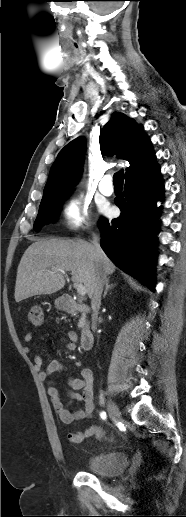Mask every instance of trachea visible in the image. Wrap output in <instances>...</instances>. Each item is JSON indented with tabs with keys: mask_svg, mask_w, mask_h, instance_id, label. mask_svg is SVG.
<instances>
[{
	"mask_svg": "<svg viewBox=\"0 0 186 517\" xmlns=\"http://www.w3.org/2000/svg\"><path fill=\"white\" fill-rule=\"evenodd\" d=\"M123 174L124 170L116 172L113 176V182L116 186H123Z\"/></svg>",
	"mask_w": 186,
	"mask_h": 517,
	"instance_id": "1",
	"label": "trachea"
}]
</instances>
